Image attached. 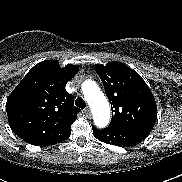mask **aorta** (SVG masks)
<instances>
[{
	"mask_svg": "<svg viewBox=\"0 0 182 182\" xmlns=\"http://www.w3.org/2000/svg\"><path fill=\"white\" fill-rule=\"evenodd\" d=\"M82 91L92 110L94 124L99 128L106 127L110 120V108L105 95L92 80L83 83Z\"/></svg>",
	"mask_w": 182,
	"mask_h": 182,
	"instance_id": "obj_1",
	"label": "aorta"
}]
</instances>
